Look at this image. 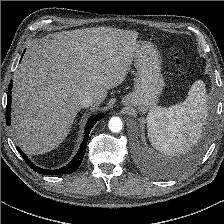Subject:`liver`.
<instances>
[{"label": "liver", "mask_w": 224, "mask_h": 224, "mask_svg": "<svg viewBox=\"0 0 224 224\" xmlns=\"http://www.w3.org/2000/svg\"><path fill=\"white\" fill-rule=\"evenodd\" d=\"M138 33L107 27L49 34L27 50L14 74L13 137L28 155L57 148L91 95L101 104L134 59Z\"/></svg>", "instance_id": "obj_1"}]
</instances>
